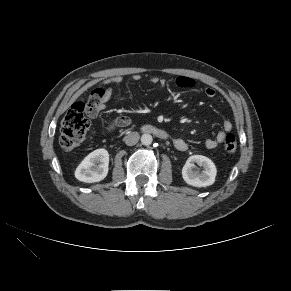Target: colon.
I'll return each mask as SVG.
<instances>
[{"instance_id": "colon-1", "label": "colon", "mask_w": 291, "mask_h": 291, "mask_svg": "<svg viewBox=\"0 0 291 291\" xmlns=\"http://www.w3.org/2000/svg\"><path fill=\"white\" fill-rule=\"evenodd\" d=\"M97 95L91 92L89 102H75L66 113L60 130V145L66 151H72L77 148L86 138L90 127L88 107L95 103ZM120 124H127L128 118L120 117ZM224 150L228 154H234L237 150L236 139L233 134L228 133L224 139Z\"/></svg>"}]
</instances>
